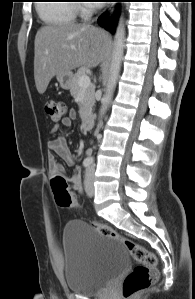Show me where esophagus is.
I'll list each match as a JSON object with an SVG mask.
<instances>
[{
	"instance_id": "34e87169",
	"label": "esophagus",
	"mask_w": 195,
	"mask_h": 299,
	"mask_svg": "<svg viewBox=\"0 0 195 299\" xmlns=\"http://www.w3.org/2000/svg\"><path fill=\"white\" fill-rule=\"evenodd\" d=\"M114 11V3H109L108 8H107V12L109 15H111Z\"/></svg>"
}]
</instances>
